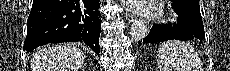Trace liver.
Listing matches in <instances>:
<instances>
[{"instance_id":"6515ba94","label":"liver","mask_w":230,"mask_h":71,"mask_svg":"<svg viewBox=\"0 0 230 71\" xmlns=\"http://www.w3.org/2000/svg\"><path fill=\"white\" fill-rule=\"evenodd\" d=\"M84 62V53L77 44L57 45L38 50L32 60V71H78Z\"/></svg>"}]
</instances>
